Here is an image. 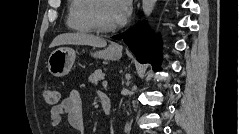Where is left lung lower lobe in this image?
<instances>
[{"label":"left lung lower lobe","instance_id":"obj_1","mask_svg":"<svg viewBox=\"0 0 239 134\" xmlns=\"http://www.w3.org/2000/svg\"><path fill=\"white\" fill-rule=\"evenodd\" d=\"M112 38L118 40L123 38L139 62L151 63L153 70L159 69L161 41L159 37H154L150 34L145 23L135 25L131 32L118 34Z\"/></svg>","mask_w":239,"mask_h":134}]
</instances>
